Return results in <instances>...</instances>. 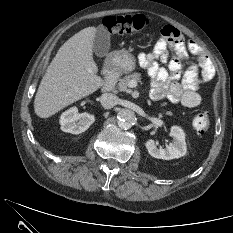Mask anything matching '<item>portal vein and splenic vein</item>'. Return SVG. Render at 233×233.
Wrapping results in <instances>:
<instances>
[{
	"label": "portal vein and splenic vein",
	"mask_w": 233,
	"mask_h": 233,
	"mask_svg": "<svg viewBox=\"0 0 233 233\" xmlns=\"http://www.w3.org/2000/svg\"><path fill=\"white\" fill-rule=\"evenodd\" d=\"M136 86H137V81L131 80V81L129 82V87L134 88V87H136Z\"/></svg>",
	"instance_id": "obj_1"
}]
</instances>
